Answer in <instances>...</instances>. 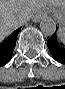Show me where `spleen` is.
Instances as JSON below:
<instances>
[{
	"label": "spleen",
	"instance_id": "obj_1",
	"mask_svg": "<svg viewBox=\"0 0 65 89\" xmlns=\"http://www.w3.org/2000/svg\"><path fill=\"white\" fill-rule=\"evenodd\" d=\"M59 39L61 42H65V33L63 28L59 30Z\"/></svg>",
	"mask_w": 65,
	"mask_h": 89
}]
</instances>
